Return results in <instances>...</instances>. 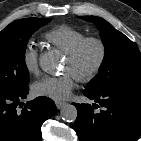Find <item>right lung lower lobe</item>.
Segmentation results:
<instances>
[{
    "label": "right lung lower lobe",
    "instance_id": "1",
    "mask_svg": "<svg viewBox=\"0 0 141 141\" xmlns=\"http://www.w3.org/2000/svg\"><path fill=\"white\" fill-rule=\"evenodd\" d=\"M29 88L11 93H0V141H41V126L56 112L52 99L37 97L19 111Z\"/></svg>",
    "mask_w": 141,
    "mask_h": 141
}]
</instances>
